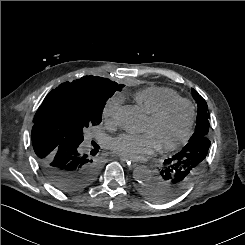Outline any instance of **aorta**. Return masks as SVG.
I'll list each match as a JSON object with an SVG mask.
<instances>
[{"label":"aorta","instance_id":"aorta-1","mask_svg":"<svg viewBox=\"0 0 245 245\" xmlns=\"http://www.w3.org/2000/svg\"><path fill=\"white\" fill-rule=\"evenodd\" d=\"M118 121L120 127L129 133L141 132L145 124L144 115L134 105L123 106L119 111ZM133 177L136 181L145 183L154 177V172L146 166H139L134 169Z\"/></svg>","mask_w":245,"mask_h":245}]
</instances>
